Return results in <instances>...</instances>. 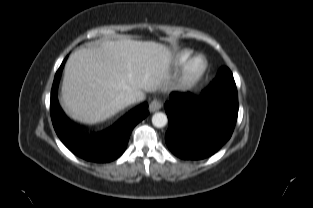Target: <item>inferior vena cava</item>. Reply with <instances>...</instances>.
I'll list each match as a JSON object with an SVG mask.
<instances>
[{
	"label": "inferior vena cava",
	"instance_id": "1",
	"mask_svg": "<svg viewBox=\"0 0 313 208\" xmlns=\"http://www.w3.org/2000/svg\"><path fill=\"white\" fill-rule=\"evenodd\" d=\"M120 99L124 105H129L139 101V96L137 92L128 90L121 95Z\"/></svg>",
	"mask_w": 313,
	"mask_h": 208
}]
</instances>
